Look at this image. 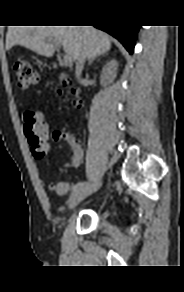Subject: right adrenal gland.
<instances>
[{
  "mask_svg": "<svg viewBox=\"0 0 184 292\" xmlns=\"http://www.w3.org/2000/svg\"><path fill=\"white\" fill-rule=\"evenodd\" d=\"M96 59H97V57L91 59V60L89 61L88 65H91V63H92L94 60H96Z\"/></svg>",
  "mask_w": 184,
  "mask_h": 292,
  "instance_id": "2a0ac1e0",
  "label": "right adrenal gland"
}]
</instances>
